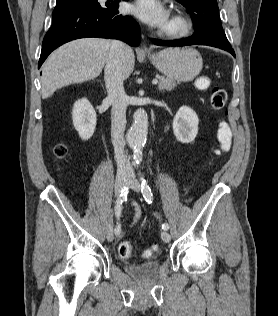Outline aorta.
<instances>
[{"label":"aorta","instance_id":"1","mask_svg":"<svg viewBox=\"0 0 278 316\" xmlns=\"http://www.w3.org/2000/svg\"><path fill=\"white\" fill-rule=\"evenodd\" d=\"M147 134L148 116L144 109L139 108L134 112L133 124L127 133V142L137 164L142 161V149L146 144Z\"/></svg>","mask_w":278,"mask_h":316}]
</instances>
